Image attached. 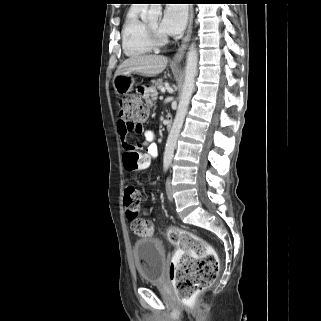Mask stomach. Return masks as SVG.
Wrapping results in <instances>:
<instances>
[{"label":"stomach","mask_w":321,"mask_h":321,"mask_svg":"<svg viewBox=\"0 0 321 321\" xmlns=\"http://www.w3.org/2000/svg\"><path fill=\"white\" fill-rule=\"evenodd\" d=\"M113 86L118 94H127L133 89L134 78L131 73H123L115 76Z\"/></svg>","instance_id":"obj_1"}]
</instances>
